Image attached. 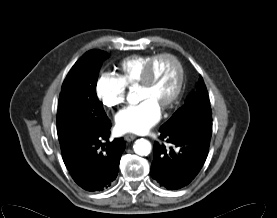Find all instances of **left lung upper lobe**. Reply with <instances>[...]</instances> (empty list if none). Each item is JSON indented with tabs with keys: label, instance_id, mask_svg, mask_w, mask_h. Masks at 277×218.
Segmentation results:
<instances>
[{
	"label": "left lung upper lobe",
	"instance_id": "left-lung-upper-lobe-1",
	"mask_svg": "<svg viewBox=\"0 0 277 218\" xmlns=\"http://www.w3.org/2000/svg\"><path fill=\"white\" fill-rule=\"evenodd\" d=\"M190 125L212 126L210 99L201 76L196 89L188 96L184 106L178 109L163 126Z\"/></svg>",
	"mask_w": 277,
	"mask_h": 218
}]
</instances>
